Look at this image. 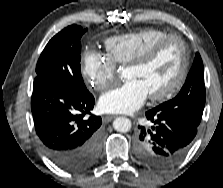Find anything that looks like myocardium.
Returning a JSON list of instances; mask_svg holds the SVG:
<instances>
[{"label": "myocardium", "mask_w": 223, "mask_h": 188, "mask_svg": "<svg viewBox=\"0 0 223 188\" xmlns=\"http://www.w3.org/2000/svg\"><path fill=\"white\" fill-rule=\"evenodd\" d=\"M176 41L179 43L182 51V63L180 71L173 83L165 90L157 93H152L149 98L153 101H164L174 96L184 85L190 67L189 49L184 39L176 34H168L157 41L148 45L143 51L137 54L127 65L126 68L139 67L147 64L156 53L168 42Z\"/></svg>", "instance_id": "obj_1"}]
</instances>
